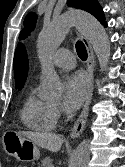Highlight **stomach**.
Returning <instances> with one entry per match:
<instances>
[{
  "instance_id": "0dacf381",
  "label": "stomach",
  "mask_w": 125,
  "mask_h": 167,
  "mask_svg": "<svg viewBox=\"0 0 125 167\" xmlns=\"http://www.w3.org/2000/svg\"><path fill=\"white\" fill-rule=\"evenodd\" d=\"M8 137L4 143L5 151L19 161L30 162L40 158L38 147L28 138L20 136L17 132H7Z\"/></svg>"
}]
</instances>
